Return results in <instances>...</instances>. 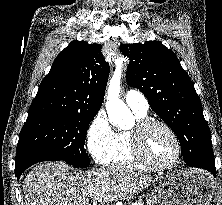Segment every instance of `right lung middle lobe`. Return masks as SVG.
I'll list each match as a JSON object with an SVG mask.
<instances>
[{"label": "right lung middle lobe", "instance_id": "right-lung-middle-lobe-1", "mask_svg": "<svg viewBox=\"0 0 222 205\" xmlns=\"http://www.w3.org/2000/svg\"><path fill=\"white\" fill-rule=\"evenodd\" d=\"M95 115L81 112L28 115L19 135L16 156L42 152L75 167H88L85 135Z\"/></svg>", "mask_w": 222, "mask_h": 205}]
</instances>
